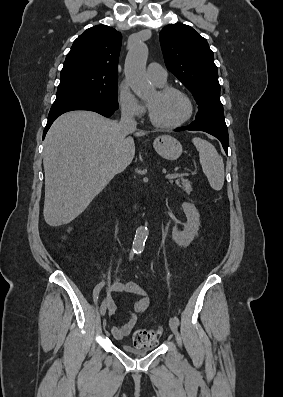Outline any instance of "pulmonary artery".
I'll use <instances>...</instances> for the list:
<instances>
[{"label":"pulmonary artery","mask_w":283,"mask_h":397,"mask_svg":"<svg viewBox=\"0 0 283 397\" xmlns=\"http://www.w3.org/2000/svg\"><path fill=\"white\" fill-rule=\"evenodd\" d=\"M149 78L155 83H164L167 78L165 69L158 63H150L147 67Z\"/></svg>","instance_id":"e3ab8cb5"}]
</instances>
